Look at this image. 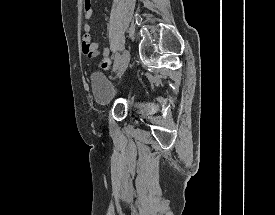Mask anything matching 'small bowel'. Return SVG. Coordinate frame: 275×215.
<instances>
[{"mask_svg": "<svg viewBox=\"0 0 275 215\" xmlns=\"http://www.w3.org/2000/svg\"><path fill=\"white\" fill-rule=\"evenodd\" d=\"M84 34L82 37V50L83 53L89 57L94 58L98 56L100 53H102L103 57H108L110 54L109 48L105 47L102 49V51L99 50V45L97 43L92 42V36H91V27L89 24V20L93 14V4L89 0H84Z\"/></svg>", "mask_w": 275, "mask_h": 215, "instance_id": "small-bowel-1", "label": "small bowel"}]
</instances>
